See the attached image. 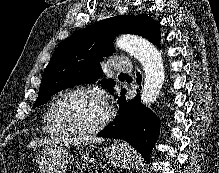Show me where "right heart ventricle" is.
I'll list each match as a JSON object with an SVG mask.
<instances>
[{
	"label": "right heart ventricle",
	"mask_w": 219,
	"mask_h": 173,
	"mask_svg": "<svg viewBox=\"0 0 219 173\" xmlns=\"http://www.w3.org/2000/svg\"><path fill=\"white\" fill-rule=\"evenodd\" d=\"M58 97L54 98L47 106L44 114V132L52 136H63L65 133L59 128L55 121L54 109Z\"/></svg>",
	"instance_id": "1"
}]
</instances>
